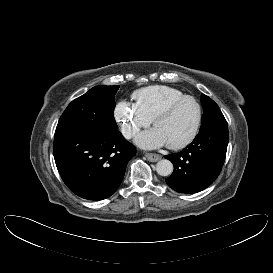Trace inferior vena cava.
Here are the masks:
<instances>
[{
    "label": "inferior vena cava",
    "mask_w": 273,
    "mask_h": 273,
    "mask_svg": "<svg viewBox=\"0 0 273 273\" xmlns=\"http://www.w3.org/2000/svg\"><path fill=\"white\" fill-rule=\"evenodd\" d=\"M134 133L135 132L132 129H126L123 132V135H124L125 138L130 139L134 135Z\"/></svg>",
    "instance_id": "obj_1"
}]
</instances>
